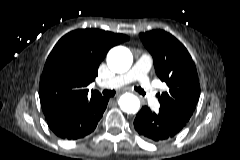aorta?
I'll return each mask as SVG.
<instances>
[{"instance_id":"aorta-1","label":"aorta","mask_w":240,"mask_h":160,"mask_svg":"<svg viewBox=\"0 0 240 160\" xmlns=\"http://www.w3.org/2000/svg\"><path fill=\"white\" fill-rule=\"evenodd\" d=\"M132 62L130 50L123 46L114 47L107 54V65L115 73L128 71ZM119 106L122 111L135 114L140 108V101L134 94L125 93L119 99Z\"/></svg>"}]
</instances>
